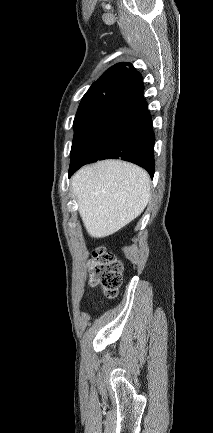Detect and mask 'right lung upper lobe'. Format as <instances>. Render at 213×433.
<instances>
[{
  "mask_svg": "<svg viewBox=\"0 0 213 433\" xmlns=\"http://www.w3.org/2000/svg\"><path fill=\"white\" fill-rule=\"evenodd\" d=\"M142 79L140 73L130 63H118L108 70L92 84L83 99L114 94L118 95Z\"/></svg>",
  "mask_w": 213,
  "mask_h": 433,
  "instance_id": "1",
  "label": "right lung upper lobe"
}]
</instances>
